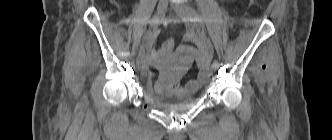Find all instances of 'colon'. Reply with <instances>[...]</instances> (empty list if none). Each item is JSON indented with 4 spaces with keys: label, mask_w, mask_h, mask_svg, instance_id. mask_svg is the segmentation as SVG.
<instances>
[{
    "label": "colon",
    "mask_w": 332,
    "mask_h": 140,
    "mask_svg": "<svg viewBox=\"0 0 332 140\" xmlns=\"http://www.w3.org/2000/svg\"><path fill=\"white\" fill-rule=\"evenodd\" d=\"M175 42L173 39H168L163 46L160 48L159 53L161 56L169 54L174 49Z\"/></svg>",
    "instance_id": "colon-1"
}]
</instances>
